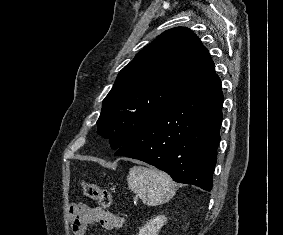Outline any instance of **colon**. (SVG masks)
I'll return each instance as SVG.
<instances>
[{
    "mask_svg": "<svg viewBox=\"0 0 283 235\" xmlns=\"http://www.w3.org/2000/svg\"><path fill=\"white\" fill-rule=\"evenodd\" d=\"M81 185L86 197L96 200L104 208L110 207L112 195L108 190L88 181H83Z\"/></svg>",
    "mask_w": 283,
    "mask_h": 235,
    "instance_id": "obj_1",
    "label": "colon"
}]
</instances>
